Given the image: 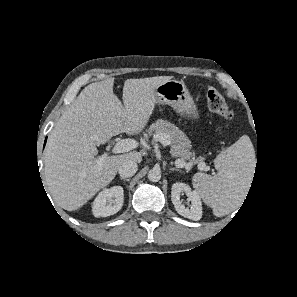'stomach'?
Listing matches in <instances>:
<instances>
[{
  "instance_id": "obj_1",
  "label": "stomach",
  "mask_w": 297,
  "mask_h": 297,
  "mask_svg": "<svg viewBox=\"0 0 297 297\" xmlns=\"http://www.w3.org/2000/svg\"><path fill=\"white\" fill-rule=\"evenodd\" d=\"M156 104L170 105L178 114L198 119V108L182 81L168 80L154 88Z\"/></svg>"
}]
</instances>
